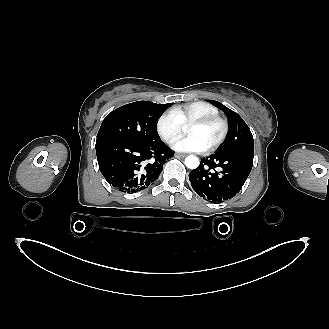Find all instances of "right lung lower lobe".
<instances>
[{"label": "right lung lower lobe", "mask_w": 329, "mask_h": 329, "mask_svg": "<svg viewBox=\"0 0 329 329\" xmlns=\"http://www.w3.org/2000/svg\"><path fill=\"white\" fill-rule=\"evenodd\" d=\"M95 147L102 175L124 193H135L152 185L165 160L174 155L161 140L140 142L105 136L97 138Z\"/></svg>", "instance_id": "right-lung-lower-lobe-1"}]
</instances>
